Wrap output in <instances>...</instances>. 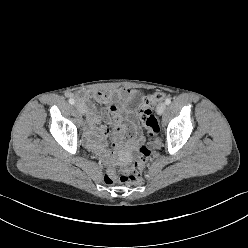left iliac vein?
<instances>
[{"instance_id": "obj_1", "label": "left iliac vein", "mask_w": 248, "mask_h": 248, "mask_svg": "<svg viewBox=\"0 0 248 248\" xmlns=\"http://www.w3.org/2000/svg\"><path fill=\"white\" fill-rule=\"evenodd\" d=\"M166 110V104L165 103H160L157 107V114L162 115L164 111Z\"/></svg>"}]
</instances>
